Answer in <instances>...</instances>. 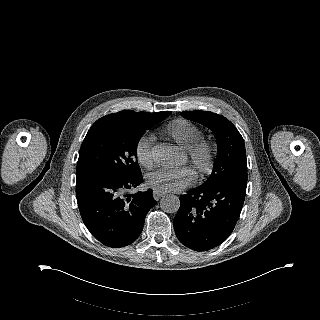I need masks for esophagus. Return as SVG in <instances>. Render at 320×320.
I'll list each match as a JSON object with an SVG mask.
<instances>
[{"mask_svg": "<svg viewBox=\"0 0 320 320\" xmlns=\"http://www.w3.org/2000/svg\"><path fill=\"white\" fill-rule=\"evenodd\" d=\"M165 193L161 190H155L153 195L155 199H159L161 196H163Z\"/></svg>", "mask_w": 320, "mask_h": 320, "instance_id": "obj_1", "label": "esophagus"}]
</instances>
